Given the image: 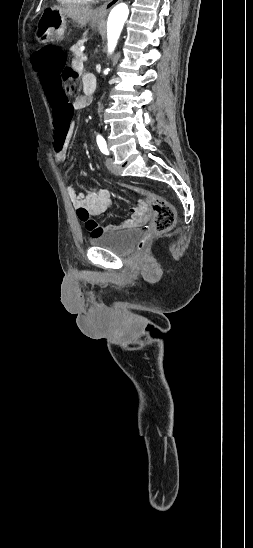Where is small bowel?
I'll list each match as a JSON object with an SVG mask.
<instances>
[{"instance_id": "obj_1", "label": "small bowel", "mask_w": 253, "mask_h": 548, "mask_svg": "<svg viewBox=\"0 0 253 548\" xmlns=\"http://www.w3.org/2000/svg\"><path fill=\"white\" fill-rule=\"evenodd\" d=\"M71 70L78 72L81 69V65L77 61H73L71 64ZM91 76H87L85 81ZM44 88V87H43ZM91 102V97L86 95H81L75 98V100L70 104L72 107V113L74 110L85 108ZM52 107V105H51ZM56 132H54L55 134ZM71 133H67V137L61 143V148H56L54 141V158L57 162H65L67 159V147L69 143ZM69 197L77 210L79 219L85 224L87 231L91 236H97L106 232L136 227L144 224L148 221L151 212L149 209L148 203L140 199L135 205L131 208L132 217L128 220L109 224L105 226L99 225L91 216H99L104 214L108 209L113 205V198L109 192L105 189H100L96 192L84 193L83 191H78L74 187L69 186L67 188Z\"/></svg>"}]
</instances>
